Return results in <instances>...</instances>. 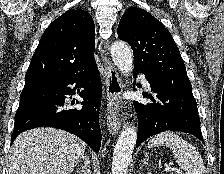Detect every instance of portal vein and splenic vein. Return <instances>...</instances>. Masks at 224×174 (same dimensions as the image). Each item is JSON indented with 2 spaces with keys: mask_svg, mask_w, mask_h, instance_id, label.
<instances>
[{
  "mask_svg": "<svg viewBox=\"0 0 224 174\" xmlns=\"http://www.w3.org/2000/svg\"><path fill=\"white\" fill-rule=\"evenodd\" d=\"M165 171H166V172H169V171H177L178 173L181 174V171H180L179 169H174V168H172V167H170V166H167V167L165 168Z\"/></svg>",
  "mask_w": 224,
  "mask_h": 174,
  "instance_id": "18ae733b",
  "label": "portal vein and splenic vein"
}]
</instances>
